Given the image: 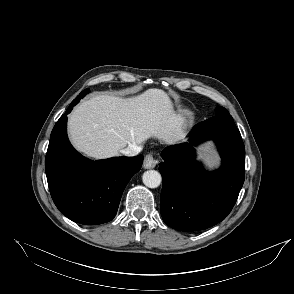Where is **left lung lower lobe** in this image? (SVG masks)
Listing matches in <instances>:
<instances>
[{"mask_svg":"<svg viewBox=\"0 0 294 294\" xmlns=\"http://www.w3.org/2000/svg\"><path fill=\"white\" fill-rule=\"evenodd\" d=\"M213 139L221 168L206 172L193 146ZM159 170L163 179L161 215L180 231L207 229L232 210L245 179V147L231 115H216L194 126L189 143L165 148Z\"/></svg>","mask_w":294,"mask_h":294,"instance_id":"0a47b994","label":"left lung lower lobe"}]
</instances>
